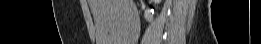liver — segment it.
Masks as SVG:
<instances>
[{"label": "liver", "instance_id": "6515ba94", "mask_svg": "<svg viewBox=\"0 0 261 44\" xmlns=\"http://www.w3.org/2000/svg\"><path fill=\"white\" fill-rule=\"evenodd\" d=\"M93 14L97 44H129L130 24L137 16L133 0H89Z\"/></svg>", "mask_w": 261, "mask_h": 44}]
</instances>
